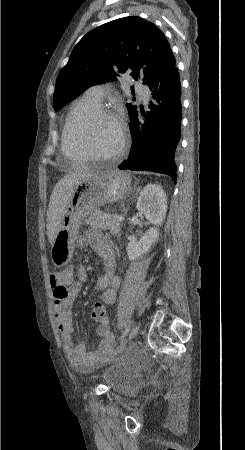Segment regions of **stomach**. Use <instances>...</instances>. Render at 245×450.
Returning <instances> with one entry per match:
<instances>
[{
    "instance_id": "stomach-1",
    "label": "stomach",
    "mask_w": 245,
    "mask_h": 450,
    "mask_svg": "<svg viewBox=\"0 0 245 450\" xmlns=\"http://www.w3.org/2000/svg\"><path fill=\"white\" fill-rule=\"evenodd\" d=\"M130 188L127 174L108 169H98L75 185L51 248L55 266L64 267L71 261L82 221L101 205L123 199Z\"/></svg>"
}]
</instances>
